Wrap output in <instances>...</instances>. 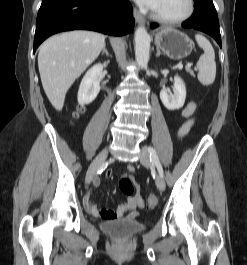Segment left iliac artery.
I'll return each instance as SVG.
<instances>
[{
  "mask_svg": "<svg viewBox=\"0 0 247 265\" xmlns=\"http://www.w3.org/2000/svg\"><path fill=\"white\" fill-rule=\"evenodd\" d=\"M148 153L150 154V161L157 167V170L161 177H163V168L162 165L158 159V156L156 154V151L153 147L149 146L147 148Z\"/></svg>",
  "mask_w": 247,
  "mask_h": 265,
  "instance_id": "1",
  "label": "left iliac artery"
}]
</instances>
